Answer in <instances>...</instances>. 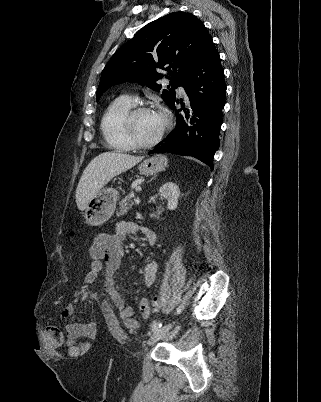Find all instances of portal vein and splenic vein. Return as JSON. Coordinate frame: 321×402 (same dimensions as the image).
Listing matches in <instances>:
<instances>
[{
	"instance_id": "1",
	"label": "portal vein and splenic vein",
	"mask_w": 321,
	"mask_h": 402,
	"mask_svg": "<svg viewBox=\"0 0 321 402\" xmlns=\"http://www.w3.org/2000/svg\"><path fill=\"white\" fill-rule=\"evenodd\" d=\"M135 203L139 204L140 203V199L139 198H134Z\"/></svg>"
}]
</instances>
